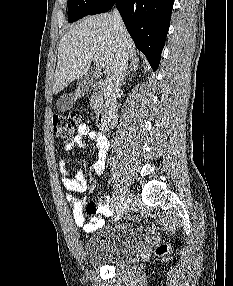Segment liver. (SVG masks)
<instances>
[{"instance_id": "1", "label": "liver", "mask_w": 233, "mask_h": 286, "mask_svg": "<svg viewBox=\"0 0 233 286\" xmlns=\"http://www.w3.org/2000/svg\"><path fill=\"white\" fill-rule=\"evenodd\" d=\"M119 37L122 38L128 58H137L130 35L125 27L122 31L114 28V18L109 13L88 16L70 28L59 43L53 94L59 93L69 83L86 74L95 58L104 60L105 74L110 76L120 47Z\"/></svg>"}]
</instances>
